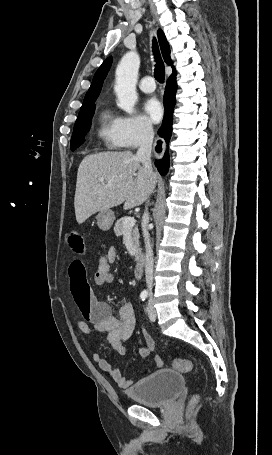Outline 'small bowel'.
<instances>
[{
  "instance_id": "obj_1",
  "label": "small bowel",
  "mask_w": 272,
  "mask_h": 455,
  "mask_svg": "<svg viewBox=\"0 0 272 455\" xmlns=\"http://www.w3.org/2000/svg\"><path fill=\"white\" fill-rule=\"evenodd\" d=\"M70 245L75 252L80 253L82 251V238L77 234L71 235ZM106 255L110 264L116 261L117 253L114 248H110ZM69 276L70 290L81 314L77 321L78 329L86 335L105 333L112 347L124 354L126 342L135 328V315L132 306L129 303H123L118 314L115 315L107 303L97 300L91 291L85 266L80 260H74L70 264ZM143 335L146 344L140 348L139 354L141 357H147L153 349V342L148 333L144 332ZM93 360L103 371L109 374L120 388L126 389L133 384L131 379H127L121 370L104 358L101 353H94ZM162 365V359L155 356L153 367L160 368Z\"/></svg>"
}]
</instances>
